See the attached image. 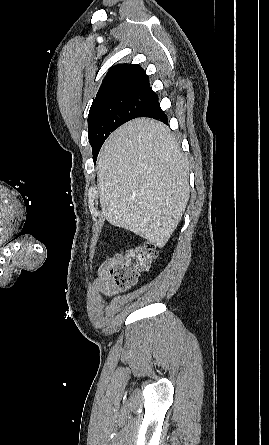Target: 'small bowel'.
I'll return each mask as SVG.
<instances>
[{"label":"small bowel","instance_id":"small-bowel-1","mask_svg":"<svg viewBox=\"0 0 269 445\" xmlns=\"http://www.w3.org/2000/svg\"><path fill=\"white\" fill-rule=\"evenodd\" d=\"M122 255L119 252L106 257L98 268V277L93 282V288L97 293L106 298L118 293V288L112 280V270L119 263Z\"/></svg>","mask_w":269,"mask_h":445}]
</instances>
